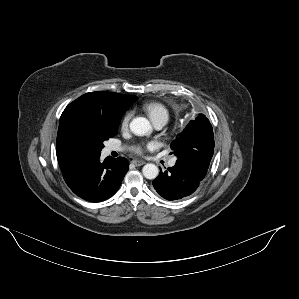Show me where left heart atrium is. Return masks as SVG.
Listing matches in <instances>:
<instances>
[{
    "instance_id": "1",
    "label": "left heart atrium",
    "mask_w": 299,
    "mask_h": 299,
    "mask_svg": "<svg viewBox=\"0 0 299 299\" xmlns=\"http://www.w3.org/2000/svg\"><path fill=\"white\" fill-rule=\"evenodd\" d=\"M137 151H139V152H140V151H141V149H138Z\"/></svg>"
}]
</instances>
